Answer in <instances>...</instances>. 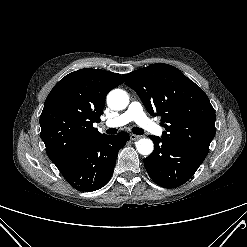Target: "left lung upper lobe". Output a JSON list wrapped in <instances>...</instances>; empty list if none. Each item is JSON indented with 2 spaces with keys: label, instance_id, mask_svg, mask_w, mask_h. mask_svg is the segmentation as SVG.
Masks as SVG:
<instances>
[{
  "label": "left lung upper lobe",
  "instance_id": "obj_1",
  "mask_svg": "<svg viewBox=\"0 0 247 247\" xmlns=\"http://www.w3.org/2000/svg\"><path fill=\"white\" fill-rule=\"evenodd\" d=\"M151 115L161 117L162 139L208 154L215 136V112L193 81L174 66L156 63L123 74Z\"/></svg>",
  "mask_w": 247,
  "mask_h": 247
}]
</instances>
